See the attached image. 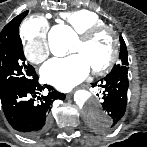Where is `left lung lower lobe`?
I'll list each match as a JSON object with an SVG mask.
<instances>
[{
    "mask_svg": "<svg viewBox=\"0 0 147 147\" xmlns=\"http://www.w3.org/2000/svg\"><path fill=\"white\" fill-rule=\"evenodd\" d=\"M128 69H121L118 72L108 74L101 79V83H92V87L100 86L104 88L102 107L108 115L105 122L91 123L101 131H110L120 122L126 111L127 90L129 87Z\"/></svg>",
    "mask_w": 147,
    "mask_h": 147,
    "instance_id": "0a47b994",
    "label": "left lung lower lobe"
}]
</instances>
